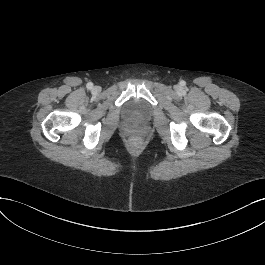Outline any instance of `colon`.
I'll return each instance as SVG.
<instances>
[{
    "label": "colon",
    "instance_id": "1",
    "mask_svg": "<svg viewBox=\"0 0 265 265\" xmlns=\"http://www.w3.org/2000/svg\"><path fill=\"white\" fill-rule=\"evenodd\" d=\"M130 137L133 141H137L140 138V133L136 130L130 132Z\"/></svg>",
    "mask_w": 265,
    "mask_h": 265
}]
</instances>
